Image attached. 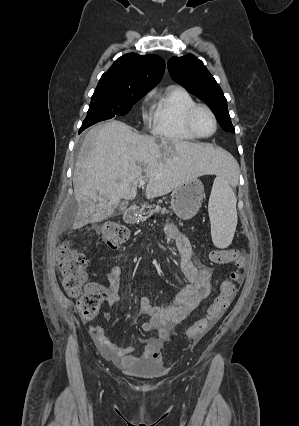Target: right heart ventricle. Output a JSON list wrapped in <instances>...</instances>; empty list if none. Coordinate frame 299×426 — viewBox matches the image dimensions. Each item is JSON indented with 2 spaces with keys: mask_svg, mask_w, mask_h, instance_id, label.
Masks as SVG:
<instances>
[{
  "mask_svg": "<svg viewBox=\"0 0 299 426\" xmlns=\"http://www.w3.org/2000/svg\"><path fill=\"white\" fill-rule=\"evenodd\" d=\"M196 102L190 93L180 86H168L157 95L153 111L152 131L155 135L172 141L195 139L185 127V115Z\"/></svg>",
  "mask_w": 299,
  "mask_h": 426,
  "instance_id": "obj_1",
  "label": "right heart ventricle"
}]
</instances>
